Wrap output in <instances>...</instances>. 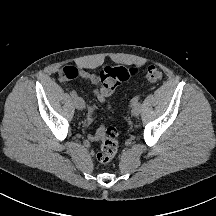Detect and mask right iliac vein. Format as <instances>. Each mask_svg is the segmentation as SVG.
I'll return each mask as SVG.
<instances>
[{"instance_id":"63e3f726","label":"right iliac vein","mask_w":216,"mask_h":216,"mask_svg":"<svg viewBox=\"0 0 216 216\" xmlns=\"http://www.w3.org/2000/svg\"><path fill=\"white\" fill-rule=\"evenodd\" d=\"M74 104H75V107L79 110H82L85 108V102L81 97H76L74 99Z\"/></svg>"}]
</instances>
